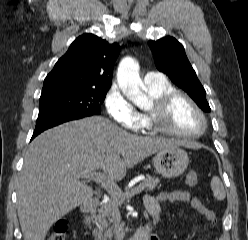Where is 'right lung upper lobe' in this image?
I'll return each instance as SVG.
<instances>
[{"instance_id": "right-lung-upper-lobe-1", "label": "right lung upper lobe", "mask_w": 248, "mask_h": 240, "mask_svg": "<svg viewBox=\"0 0 248 240\" xmlns=\"http://www.w3.org/2000/svg\"><path fill=\"white\" fill-rule=\"evenodd\" d=\"M120 47L85 33L70 45L44 80L42 92L60 89L109 90Z\"/></svg>"}]
</instances>
